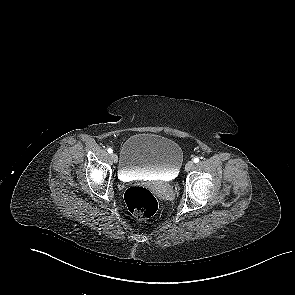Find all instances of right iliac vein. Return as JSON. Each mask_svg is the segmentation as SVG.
<instances>
[{"instance_id":"right-iliac-vein-1","label":"right iliac vein","mask_w":295,"mask_h":295,"mask_svg":"<svg viewBox=\"0 0 295 295\" xmlns=\"http://www.w3.org/2000/svg\"><path fill=\"white\" fill-rule=\"evenodd\" d=\"M111 159L114 163H117L118 162V156L115 154V153H112L111 154Z\"/></svg>"}]
</instances>
